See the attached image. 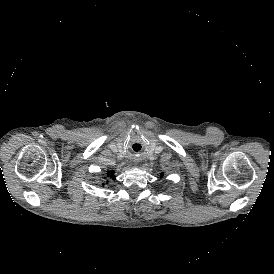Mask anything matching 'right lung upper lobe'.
<instances>
[{"instance_id": "right-lung-upper-lobe-1", "label": "right lung upper lobe", "mask_w": 274, "mask_h": 274, "mask_svg": "<svg viewBox=\"0 0 274 274\" xmlns=\"http://www.w3.org/2000/svg\"><path fill=\"white\" fill-rule=\"evenodd\" d=\"M107 177L114 178V171H107Z\"/></svg>"}]
</instances>
